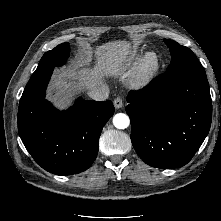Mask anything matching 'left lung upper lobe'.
Listing matches in <instances>:
<instances>
[{
    "mask_svg": "<svg viewBox=\"0 0 221 221\" xmlns=\"http://www.w3.org/2000/svg\"><path fill=\"white\" fill-rule=\"evenodd\" d=\"M171 52V63L167 70L172 69L176 65L186 62L198 60L195 54L187 47L178 44L175 41L164 39Z\"/></svg>",
    "mask_w": 221,
    "mask_h": 221,
    "instance_id": "5c2ea615",
    "label": "left lung upper lobe"
}]
</instances>
